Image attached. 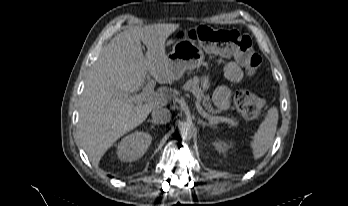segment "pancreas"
I'll return each mask as SVG.
<instances>
[{"label": "pancreas", "instance_id": "obj_1", "mask_svg": "<svg viewBox=\"0 0 348 206\" xmlns=\"http://www.w3.org/2000/svg\"><path fill=\"white\" fill-rule=\"evenodd\" d=\"M184 91L192 92L199 100L202 101L203 106L210 114H215L217 111L211 106V100L209 94L205 93V90L200 86V80L197 77L189 79L182 87ZM231 126H237L238 121L236 119H230L229 122Z\"/></svg>", "mask_w": 348, "mask_h": 206}]
</instances>
